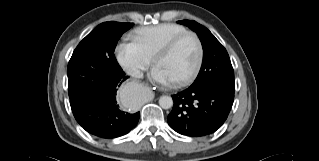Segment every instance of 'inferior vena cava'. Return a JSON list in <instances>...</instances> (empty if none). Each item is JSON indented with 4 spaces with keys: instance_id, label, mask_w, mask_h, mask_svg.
I'll use <instances>...</instances> for the list:
<instances>
[{
    "instance_id": "1",
    "label": "inferior vena cava",
    "mask_w": 319,
    "mask_h": 161,
    "mask_svg": "<svg viewBox=\"0 0 319 161\" xmlns=\"http://www.w3.org/2000/svg\"><path fill=\"white\" fill-rule=\"evenodd\" d=\"M127 73L132 76V77H135V78H142L143 77V73L142 71H140L139 69L137 68H129L127 70Z\"/></svg>"
}]
</instances>
